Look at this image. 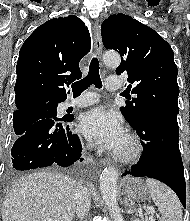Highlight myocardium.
Listing matches in <instances>:
<instances>
[{
    "label": "myocardium",
    "instance_id": "f54148a6",
    "mask_svg": "<svg viewBox=\"0 0 190 221\" xmlns=\"http://www.w3.org/2000/svg\"><path fill=\"white\" fill-rule=\"evenodd\" d=\"M126 137L131 143V149L128 153H119L116 151H111V156L118 162L121 163H131L137 160L142 153V144L139 137L131 131L126 132Z\"/></svg>",
    "mask_w": 190,
    "mask_h": 221
}]
</instances>
